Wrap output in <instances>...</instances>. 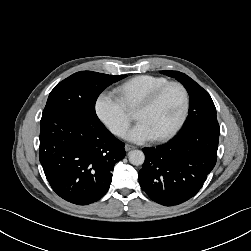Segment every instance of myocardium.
<instances>
[{"instance_id":"myocardium-1","label":"myocardium","mask_w":251,"mask_h":251,"mask_svg":"<svg viewBox=\"0 0 251 251\" xmlns=\"http://www.w3.org/2000/svg\"><path fill=\"white\" fill-rule=\"evenodd\" d=\"M170 87H178L183 95V109L181 112V115L176 122V124L166 133L157 136L154 138L155 141L157 142H164L172 137H174L179 130L182 128L184 125L186 118L188 116L189 112V107H190V98H189V93L187 88L180 82L177 81H169L166 84L162 85L158 89H156L153 93H151L146 99H144L137 107L136 110L139 109H148L154 106L159 99L162 97V95L170 88Z\"/></svg>"}]
</instances>
